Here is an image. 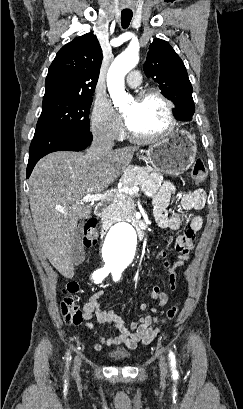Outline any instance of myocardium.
<instances>
[{
    "label": "myocardium",
    "instance_id": "1",
    "mask_svg": "<svg viewBox=\"0 0 243 409\" xmlns=\"http://www.w3.org/2000/svg\"><path fill=\"white\" fill-rule=\"evenodd\" d=\"M148 98H155L159 100L165 107L166 110V117H167V125L164 129L161 131L154 133V134H149V135H138L133 133L127 126V133L128 136L131 140L135 142H151L155 141L166 134L170 133L176 125V117L174 113V105L172 101L167 98L162 92H160L157 89L154 88H149V89H144L139 91L136 96L135 100L136 101H144Z\"/></svg>",
    "mask_w": 243,
    "mask_h": 409
}]
</instances>
